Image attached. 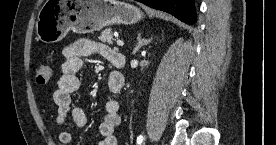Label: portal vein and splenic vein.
Returning a JSON list of instances; mask_svg holds the SVG:
<instances>
[{
    "label": "portal vein and splenic vein",
    "mask_w": 276,
    "mask_h": 145,
    "mask_svg": "<svg viewBox=\"0 0 276 145\" xmlns=\"http://www.w3.org/2000/svg\"><path fill=\"white\" fill-rule=\"evenodd\" d=\"M117 45L122 47V46H124V42L122 40L118 39Z\"/></svg>",
    "instance_id": "18ae733b"
}]
</instances>
